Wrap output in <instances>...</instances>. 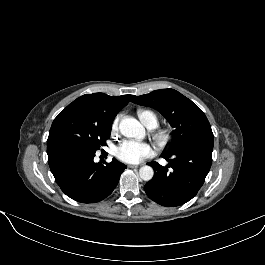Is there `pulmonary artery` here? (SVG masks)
I'll list each match as a JSON object with an SVG mask.
<instances>
[{"mask_svg": "<svg viewBox=\"0 0 265 265\" xmlns=\"http://www.w3.org/2000/svg\"><path fill=\"white\" fill-rule=\"evenodd\" d=\"M149 129H153L152 127H148Z\"/></svg>", "mask_w": 265, "mask_h": 265, "instance_id": "pulmonary-artery-1", "label": "pulmonary artery"}]
</instances>
